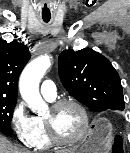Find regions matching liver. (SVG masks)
<instances>
[{
	"instance_id": "obj_1",
	"label": "liver",
	"mask_w": 130,
	"mask_h": 153,
	"mask_svg": "<svg viewBox=\"0 0 130 153\" xmlns=\"http://www.w3.org/2000/svg\"><path fill=\"white\" fill-rule=\"evenodd\" d=\"M72 151L66 150L63 153H72ZM0 153H28V151L13 146L6 137L0 134Z\"/></svg>"
}]
</instances>
